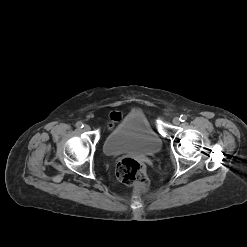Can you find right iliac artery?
<instances>
[{"label": "right iliac artery", "instance_id": "right-iliac-artery-1", "mask_svg": "<svg viewBox=\"0 0 247 247\" xmlns=\"http://www.w3.org/2000/svg\"><path fill=\"white\" fill-rule=\"evenodd\" d=\"M83 126H84L83 123L80 121L76 123V127L78 128H83Z\"/></svg>", "mask_w": 247, "mask_h": 247}]
</instances>
